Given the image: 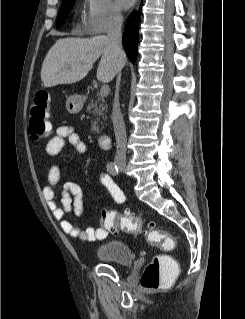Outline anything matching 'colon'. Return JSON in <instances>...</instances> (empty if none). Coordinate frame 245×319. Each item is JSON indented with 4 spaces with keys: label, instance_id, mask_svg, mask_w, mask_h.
Returning a JSON list of instances; mask_svg holds the SVG:
<instances>
[{
    "label": "colon",
    "instance_id": "5ec220e1",
    "mask_svg": "<svg viewBox=\"0 0 245 319\" xmlns=\"http://www.w3.org/2000/svg\"><path fill=\"white\" fill-rule=\"evenodd\" d=\"M49 96L41 91L34 97L30 108L29 130L33 140H41L49 132ZM104 228L111 233L118 231L124 233H136L144 226V221L135 218L130 214H118L115 211H104L101 216ZM148 240L161 247L163 250L170 251L176 246V241L172 236L167 235L158 228L155 223H146ZM178 272V266L172 263L168 256L164 254L156 255L145 267L141 286L145 290H156L165 286L169 280Z\"/></svg>",
    "mask_w": 245,
    "mask_h": 319
}]
</instances>
